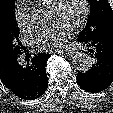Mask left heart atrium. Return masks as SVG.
Wrapping results in <instances>:
<instances>
[{"label": "left heart atrium", "mask_w": 113, "mask_h": 113, "mask_svg": "<svg viewBox=\"0 0 113 113\" xmlns=\"http://www.w3.org/2000/svg\"><path fill=\"white\" fill-rule=\"evenodd\" d=\"M74 32L73 26L58 20L55 23L41 29L34 38L37 49L42 51H55L66 46L67 39Z\"/></svg>", "instance_id": "obj_1"}]
</instances>
